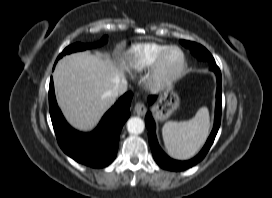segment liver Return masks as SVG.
Returning <instances> with one entry per match:
<instances>
[{
  "label": "liver",
  "instance_id": "6515ba94",
  "mask_svg": "<svg viewBox=\"0 0 272 198\" xmlns=\"http://www.w3.org/2000/svg\"><path fill=\"white\" fill-rule=\"evenodd\" d=\"M58 105L77 130L91 131L115 98L107 93L125 79L124 70L101 53L78 52L62 58L54 71Z\"/></svg>",
  "mask_w": 272,
  "mask_h": 198
}]
</instances>
